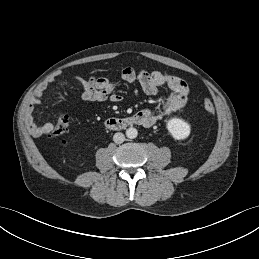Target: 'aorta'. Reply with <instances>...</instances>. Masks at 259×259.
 I'll use <instances>...</instances> for the list:
<instances>
[{"label":"aorta","mask_w":259,"mask_h":259,"mask_svg":"<svg viewBox=\"0 0 259 259\" xmlns=\"http://www.w3.org/2000/svg\"><path fill=\"white\" fill-rule=\"evenodd\" d=\"M138 135V131L137 129L133 128V127H130L126 130V136L127 138L129 139H134L136 138Z\"/></svg>","instance_id":"obj_1"}]
</instances>
